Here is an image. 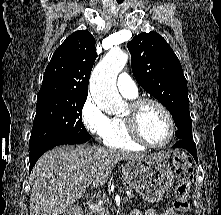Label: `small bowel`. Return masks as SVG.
<instances>
[{
  "label": "small bowel",
  "mask_w": 221,
  "mask_h": 215,
  "mask_svg": "<svg viewBox=\"0 0 221 215\" xmlns=\"http://www.w3.org/2000/svg\"><path fill=\"white\" fill-rule=\"evenodd\" d=\"M132 215H178V214L174 209L169 208L163 212H157L156 210H148L143 213L140 210H136L133 212Z\"/></svg>",
  "instance_id": "1"
}]
</instances>
